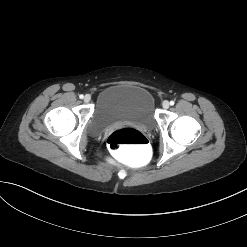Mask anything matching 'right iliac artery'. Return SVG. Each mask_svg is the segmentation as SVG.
<instances>
[{
	"label": "right iliac artery",
	"instance_id": "82829eb1",
	"mask_svg": "<svg viewBox=\"0 0 247 247\" xmlns=\"http://www.w3.org/2000/svg\"><path fill=\"white\" fill-rule=\"evenodd\" d=\"M79 98H80V99H83V98H84V96L81 94V95H79Z\"/></svg>",
	"mask_w": 247,
	"mask_h": 247
}]
</instances>
